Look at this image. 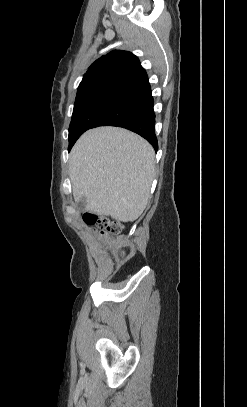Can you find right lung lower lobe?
<instances>
[{
  "mask_svg": "<svg viewBox=\"0 0 247 407\" xmlns=\"http://www.w3.org/2000/svg\"><path fill=\"white\" fill-rule=\"evenodd\" d=\"M153 104L149 86L104 115L92 128L107 125L126 128L145 138L157 151Z\"/></svg>",
  "mask_w": 247,
  "mask_h": 407,
  "instance_id": "obj_1",
  "label": "right lung lower lobe"
}]
</instances>
